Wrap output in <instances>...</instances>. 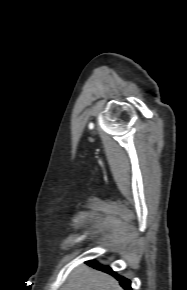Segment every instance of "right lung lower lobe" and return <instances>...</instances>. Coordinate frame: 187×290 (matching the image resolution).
Masks as SVG:
<instances>
[{"label": "right lung lower lobe", "mask_w": 187, "mask_h": 290, "mask_svg": "<svg viewBox=\"0 0 187 290\" xmlns=\"http://www.w3.org/2000/svg\"><path fill=\"white\" fill-rule=\"evenodd\" d=\"M90 263H91L93 266H95L96 268H99V269H101V270H103V271H105V272H108V273L114 274V276L117 277V279L120 281L121 286H122L125 290H132V289H131V283H130V281H129L128 279L124 278V277H120V276H118L115 272H113V271L111 270L110 267H108V266H100V265H98V264H97L96 262H94V261H91Z\"/></svg>", "instance_id": "right-lung-lower-lobe-1"}]
</instances>
